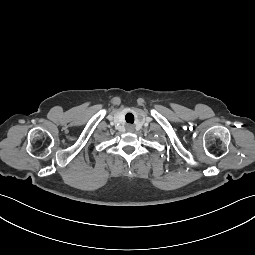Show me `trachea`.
<instances>
[{"label":"trachea","instance_id":"obj_1","mask_svg":"<svg viewBox=\"0 0 255 255\" xmlns=\"http://www.w3.org/2000/svg\"><path fill=\"white\" fill-rule=\"evenodd\" d=\"M125 119L128 123H133L134 122V115L131 114V113H128V114H126Z\"/></svg>","mask_w":255,"mask_h":255}]
</instances>
